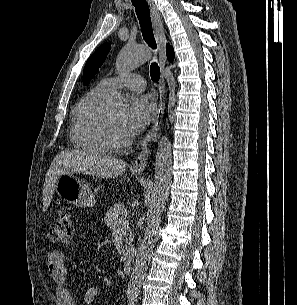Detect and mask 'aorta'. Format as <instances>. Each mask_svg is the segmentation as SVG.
<instances>
[{
    "instance_id": "1",
    "label": "aorta",
    "mask_w": 297,
    "mask_h": 305,
    "mask_svg": "<svg viewBox=\"0 0 297 305\" xmlns=\"http://www.w3.org/2000/svg\"><path fill=\"white\" fill-rule=\"evenodd\" d=\"M150 58L151 53L148 48L144 46L134 47L126 45L122 48L117 57L116 67L120 72H127L144 64ZM109 107L114 112H124L126 108V99L120 93L114 94L110 99ZM171 168V142L167 136H162L158 142L156 153L155 178L150 196V206L147 213V226L136 256L135 265L127 289V296L131 298L137 297L140 292L141 284L154 250L159 222L171 186Z\"/></svg>"
}]
</instances>
